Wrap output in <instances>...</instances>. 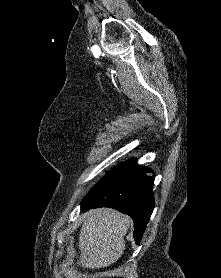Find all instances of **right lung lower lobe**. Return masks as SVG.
Instances as JSON below:
<instances>
[{
  "instance_id": "1",
  "label": "right lung lower lobe",
  "mask_w": 221,
  "mask_h": 278,
  "mask_svg": "<svg viewBox=\"0 0 221 278\" xmlns=\"http://www.w3.org/2000/svg\"><path fill=\"white\" fill-rule=\"evenodd\" d=\"M154 172L135 160L100 183L85 197L81 210L110 207L129 215L134 222L135 242L139 244L154 209Z\"/></svg>"
}]
</instances>
